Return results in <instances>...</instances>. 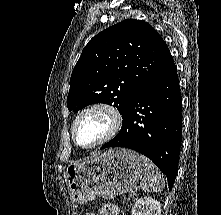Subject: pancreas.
I'll use <instances>...</instances> for the list:
<instances>
[{
	"label": "pancreas",
	"instance_id": "1",
	"mask_svg": "<svg viewBox=\"0 0 221 215\" xmlns=\"http://www.w3.org/2000/svg\"><path fill=\"white\" fill-rule=\"evenodd\" d=\"M125 205H128L129 201L128 200H124L123 202Z\"/></svg>",
	"mask_w": 221,
	"mask_h": 215
}]
</instances>
